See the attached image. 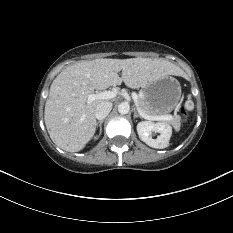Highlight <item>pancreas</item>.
Returning a JSON list of instances; mask_svg holds the SVG:
<instances>
[{
    "mask_svg": "<svg viewBox=\"0 0 233 233\" xmlns=\"http://www.w3.org/2000/svg\"><path fill=\"white\" fill-rule=\"evenodd\" d=\"M139 108L141 109V111L147 115L150 116H154L157 115V113L154 110H151L145 100L144 97H138V102H137ZM170 124L173 125V127L178 130L181 126V122H180V117L178 115L173 116V119L171 121H169Z\"/></svg>",
    "mask_w": 233,
    "mask_h": 233,
    "instance_id": "obj_1",
    "label": "pancreas"
}]
</instances>
